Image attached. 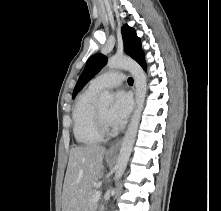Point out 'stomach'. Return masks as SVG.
Returning <instances> with one entry per match:
<instances>
[{"mask_svg": "<svg viewBox=\"0 0 221 211\" xmlns=\"http://www.w3.org/2000/svg\"><path fill=\"white\" fill-rule=\"evenodd\" d=\"M107 160H112V157L111 156H107Z\"/></svg>", "mask_w": 221, "mask_h": 211, "instance_id": "stomach-1", "label": "stomach"}]
</instances>
